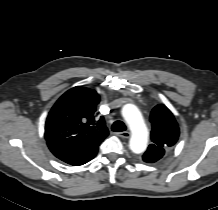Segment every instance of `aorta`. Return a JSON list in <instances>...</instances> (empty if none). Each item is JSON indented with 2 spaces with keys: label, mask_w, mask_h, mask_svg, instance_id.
Here are the masks:
<instances>
[{
  "label": "aorta",
  "mask_w": 218,
  "mask_h": 210,
  "mask_svg": "<svg viewBox=\"0 0 218 210\" xmlns=\"http://www.w3.org/2000/svg\"><path fill=\"white\" fill-rule=\"evenodd\" d=\"M122 116L131 131L130 149L134 153H142L147 147L148 130L139 109L133 104H126L122 109Z\"/></svg>",
  "instance_id": "aorta-1"
}]
</instances>
